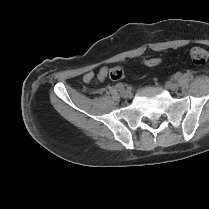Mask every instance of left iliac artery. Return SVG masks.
Listing matches in <instances>:
<instances>
[{
  "label": "left iliac artery",
  "instance_id": "44dca946",
  "mask_svg": "<svg viewBox=\"0 0 209 209\" xmlns=\"http://www.w3.org/2000/svg\"><path fill=\"white\" fill-rule=\"evenodd\" d=\"M181 78H182V75H181L180 73H177V74H175V75L172 77V80H173L174 82H177V81H179Z\"/></svg>",
  "mask_w": 209,
  "mask_h": 209
}]
</instances>
